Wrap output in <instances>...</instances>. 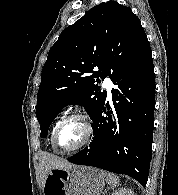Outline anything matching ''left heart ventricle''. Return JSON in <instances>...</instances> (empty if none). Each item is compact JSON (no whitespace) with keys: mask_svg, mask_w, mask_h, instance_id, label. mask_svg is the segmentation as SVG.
Segmentation results:
<instances>
[{"mask_svg":"<svg viewBox=\"0 0 178 195\" xmlns=\"http://www.w3.org/2000/svg\"><path fill=\"white\" fill-rule=\"evenodd\" d=\"M85 136V127L79 120H72L62 126L57 144L59 148L70 149L77 146Z\"/></svg>","mask_w":178,"mask_h":195,"instance_id":"b2bd125f","label":"left heart ventricle"}]
</instances>
